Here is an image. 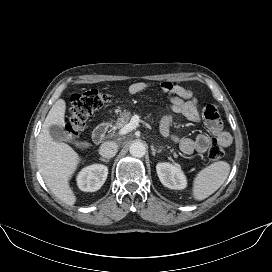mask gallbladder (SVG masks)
Returning <instances> with one entry per match:
<instances>
[{"label": "gallbladder", "mask_w": 272, "mask_h": 272, "mask_svg": "<svg viewBox=\"0 0 272 272\" xmlns=\"http://www.w3.org/2000/svg\"><path fill=\"white\" fill-rule=\"evenodd\" d=\"M49 132H50L52 139L57 142L74 143V145L80 149H82L86 146L85 142L74 140V138L71 135L67 134L64 131V129L59 125H52L49 128Z\"/></svg>", "instance_id": "obj_1"}]
</instances>
